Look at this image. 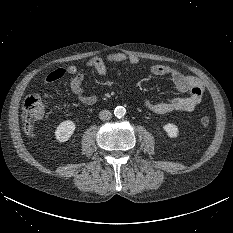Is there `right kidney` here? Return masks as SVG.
<instances>
[{"instance_id":"right-kidney-1","label":"right kidney","mask_w":233,"mask_h":233,"mask_svg":"<svg viewBox=\"0 0 233 233\" xmlns=\"http://www.w3.org/2000/svg\"><path fill=\"white\" fill-rule=\"evenodd\" d=\"M76 129V124L71 120L61 122L55 130V138L58 142H65L70 139Z\"/></svg>"}]
</instances>
